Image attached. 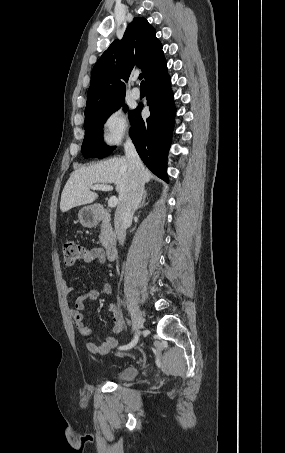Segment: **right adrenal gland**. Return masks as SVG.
<instances>
[{
	"instance_id": "2a0ac1e0",
	"label": "right adrenal gland",
	"mask_w": 285,
	"mask_h": 453,
	"mask_svg": "<svg viewBox=\"0 0 285 453\" xmlns=\"http://www.w3.org/2000/svg\"><path fill=\"white\" fill-rule=\"evenodd\" d=\"M146 196H147V191L145 190L144 194H143V199H142L140 205L138 206V209L142 208L145 205Z\"/></svg>"
}]
</instances>
